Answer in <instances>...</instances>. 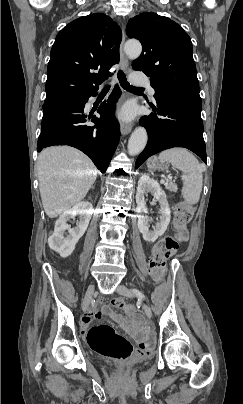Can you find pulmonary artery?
Returning a JSON list of instances; mask_svg holds the SVG:
<instances>
[{
  "label": "pulmonary artery",
  "mask_w": 243,
  "mask_h": 404,
  "mask_svg": "<svg viewBox=\"0 0 243 404\" xmlns=\"http://www.w3.org/2000/svg\"><path fill=\"white\" fill-rule=\"evenodd\" d=\"M147 90L150 96L153 97L155 95V88L150 83L147 84Z\"/></svg>",
  "instance_id": "obj_1"
}]
</instances>
